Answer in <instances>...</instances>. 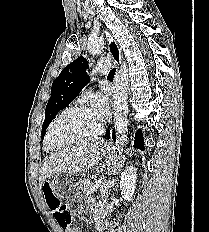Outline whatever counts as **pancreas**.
Segmentation results:
<instances>
[{
  "label": "pancreas",
  "mask_w": 209,
  "mask_h": 232,
  "mask_svg": "<svg viewBox=\"0 0 209 232\" xmlns=\"http://www.w3.org/2000/svg\"><path fill=\"white\" fill-rule=\"evenodd\" d=\"M92 186H93V182L90 179H83L81 186L83 194L87 195V192L90 191Z\"/></svg>",
  "instance_id": "pancreas-1"
}]
</instances>
